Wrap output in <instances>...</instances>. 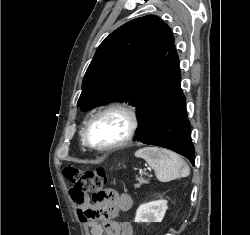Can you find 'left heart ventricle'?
<instances>
[{"label": "left heart ventricle", "mask_w": 250, "mask_h": 235, "mask_svg": "<svg viewBox=\"0 0 250 235\" xmlns=\"http://www.w3.org/2000/svg\"><path fill=\"white\" fill-rule=\"evenodd\" d=\"M127 122L120 113H108L98 117L90 126L89 137L94 145L104 146L121 139Z\"/></svg>", "instance_id": "1"}]
</instances>
